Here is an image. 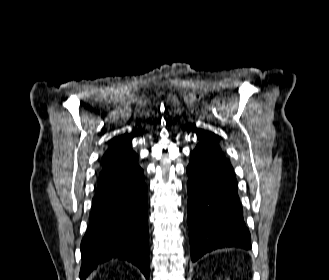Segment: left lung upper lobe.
Instances as JSON below:
<instances>
[{"label":"left lung upper lobe","mask_w":329,"mask_h":280,"mask_svg":"<svg viewBox=\"0 0 329 280\" xmlns=\"http://www.w3.org/2000/svg\"><path fill=\"white\" fill-rule=\"evenodd\" d=\"M207 149H220V147L216 144L212 133H205L201 135L199 143L197 144L195 150L191 153V160L200 159L203 151Z\"/></svg>","instance_id":"5c2ea615"}]
</instances>
